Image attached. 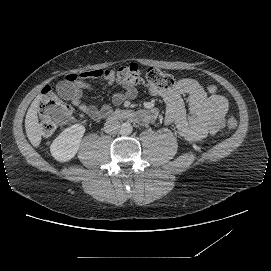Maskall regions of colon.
I'll list each match as a JSON object with an SVG mask.
<instances>
[{"label":"colon","instance_id":"colon-1","mask_svg":"<svg viewBox=\"0 0 271 271\" xmlns=\"http://www.w3.org/2000/svg\"><path fill=\"white\" fill-rule=\"evenodd\" d=\"M118 77L125 83L136 85L140 81L139 67L130 63L118 70ZM172 75L157 68H151L146 73V86L153 95H158L174 85ZM73 116L72 108L58 98L51 87H45L39 99V125L43 135H51L60 126L68 124ZM227 127L233 131L237 122L233 117L228 118Z\"/></svg>","mask_w":271,"mask_h":271}]
</instances>
